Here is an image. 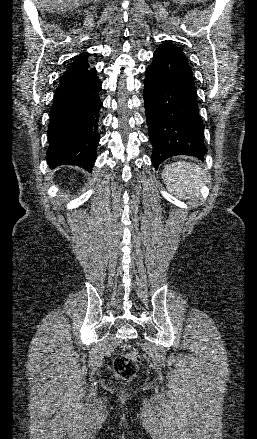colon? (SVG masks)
<instances>
[{
    "label": "colon",
    "instance_id": "colon-1",
    "mask_svg": "<svg viewBox=\"0 0 257 439\" xmlns=\"http://www.w3.org/2000/svg\"><path fill=\"white\" fill-rule=\"evenodd\" d=\"M140 355L137 351L132 350L127 353L119 354L113 362V369L117 376L122 379L132 378L138 368Z\"/></svg>",
    "mask_w": 257,
    "mask_h": 439
}]
</instances>
